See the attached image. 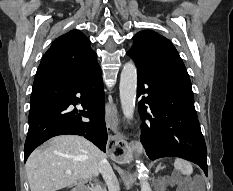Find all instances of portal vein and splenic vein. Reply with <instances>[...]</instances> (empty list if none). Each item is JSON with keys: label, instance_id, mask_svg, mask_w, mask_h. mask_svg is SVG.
I'll return each instance as SVG.
<instances>
[{"label": "portal vein and splenic vein", "instance_id": "1", "mask_svg": "<svg viewBox=\"0 0 233 191\" xmlns=\"http://www.w3.org/2000/svg\"><path fill=\"white\" fill-rule=\"evenodd\" d=\"M71 173H72L71 170H67V171H66V174H71Z\"/></svg>", "mask_w": 233, "mask_h": 191}]
</instances>
